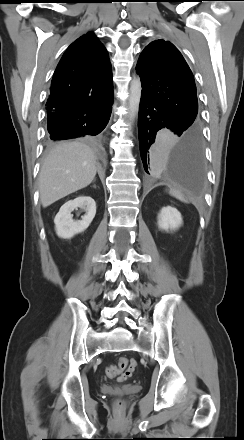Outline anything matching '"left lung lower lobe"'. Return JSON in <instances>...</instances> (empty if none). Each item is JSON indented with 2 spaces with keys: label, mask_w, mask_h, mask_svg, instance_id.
I'll use <instances>...</instances> for the list:
<instances>
[{
  "label": "left lung lower lobe",
  "mask_w": 244,
  "mask_h": 440,
  "mask_svg": "<svg viewBox=\"0 0 244 440\" xmlns=\"http://www.w3.org/2000/svg\"><path fill=\"white\" fill-rule=\"evenodd\" d=\"M179 136L176 144L166 143L161 131ZM140 153L147 174L171 173L189 192L200 191L204 177L202 135L180 124L167 108L141 95L138 115Z\"/></svg>",
  "instance_id": "0a47b994"
}]
</instances>
